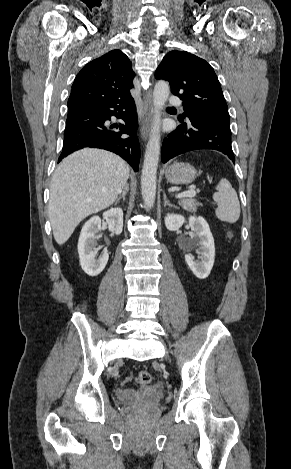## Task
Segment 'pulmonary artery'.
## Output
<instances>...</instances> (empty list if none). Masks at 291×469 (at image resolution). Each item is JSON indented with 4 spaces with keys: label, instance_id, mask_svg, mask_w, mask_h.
I'll list each match as a JSON object with an SVG mask.
<instances>
[{
    "label": "pulmonary artery",
    "instance_id": "e3ab8cb5",
    "mask_svg": "<svg viewBox=\"0 0 291 469\" xmlns=\"http://www.w3.org/2000/svg\"><path fill=\"white\" fill-rule=\"evenodd\" d=\"M169 104L173 106H180L182 104V101L177 96H171L169 98Z\"/></svg>",
    "mask_w": 291,
    "mask_h": 469
}]
</instances>
